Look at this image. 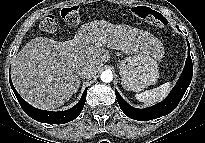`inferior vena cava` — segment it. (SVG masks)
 <instances>
[{"instance_id":"1","label":"inferior vena cava","mask_w":205,"mask_h":143,"mask_svg":"<svg viewBox=\"0 0 205 143\" xmlns=\"http://www.w3.org/2000/svg\"><path fill=\"white\" fill-rule=\"evenodd\" d=\"M97 73L96 67L92 65L84 66L80 71L81 78H91Z\"/></svg>"}]
</instances>
